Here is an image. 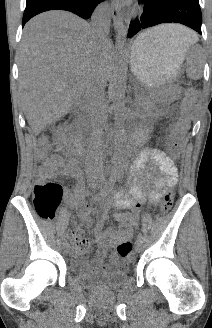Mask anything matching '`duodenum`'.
<instances>
[{
  "label": "duodenum",
  "mask_w": 212,
  "mask_h": 328,
  "mask_svg": "<svg viewBox=\"0 0 212 328\" xmlns=\"http://www.w3.org/2000/svg\"><path fill=\"white\" fill-rule=\"evenodd\" d=\"M72 134H73V146L75 149L76 156L80 157L81 149H82L81 137L77 133H75L74 130H72ZM143 137H144V133L142 131H140L135 134L134 139L136 141H140L143 139Z\"/></svg>",
  "instance_id": "duodenum-1"
}]
</instances>
